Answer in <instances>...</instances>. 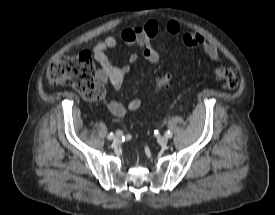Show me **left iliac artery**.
I'll use <instances>...</instances> for the list:
<instances>
[{
	"mask_svg": "<svg viewBox=\"0 0 275 215\" xmlns=\"http://www.w3.org/2000/svg\"><path fill=\"white\" fill-rule=\"evenodd\" d=\"M165 136H166L167 138H171V137H172V133H171L170 131H167V132L165 133Z\"/></svg>",
	"mask_w": 275,
	"mask_h": 215,
	"instance_id": "44dca946",
	"label": "left iliac artery"
}]
</instances>
